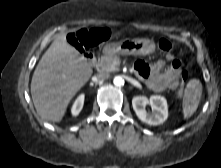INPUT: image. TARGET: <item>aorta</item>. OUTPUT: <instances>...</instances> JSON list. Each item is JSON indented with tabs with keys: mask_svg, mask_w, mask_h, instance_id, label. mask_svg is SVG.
I'll return each mask as SVG.
<instances>
[{
	"mask_svg": "<svg viewBox=\"0 0 221 168\" xmlns=\"http://www.w3.org/2000/svg\"><path fill=\"white\" fill-rule=\"evenodd\" d=\"M113 82H114V85H115V86H122L123 83H124V80L122 79V77L116 76V77L114 78Z\"/></svg>",
	"mask_w": 221,
	"mask_h": 168,
	"instance_id": "1",
	"label": "aorta"
}]
</instances>
